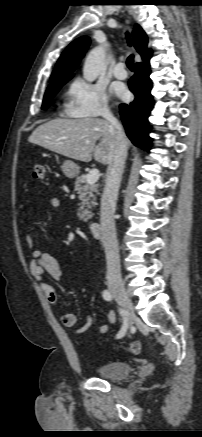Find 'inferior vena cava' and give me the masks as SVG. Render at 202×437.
Segmentation results:
<instances>
[{
    "instance_id": "inferior-vena-cava-1",
    "label": "inferior vena cava",
    "mask_w": 202,
    "mask_h": 437,
    "mask_svg": "<svg viewBox=\"0 0 202 437\" xmlns=\"http://www.w3.org/2000/svg\"><path fill=\"white\" fill-rule=\"evenodd\" d=\"M103 117L113 128L114 140L113 157L107 168L105 186L101 197V241L106 255L107 281L109 283H116L121 282L122 279L114 212L121 176L127 156V149L121 124L108 109L104 111Z\"/></svg>"
}]
</instances>
